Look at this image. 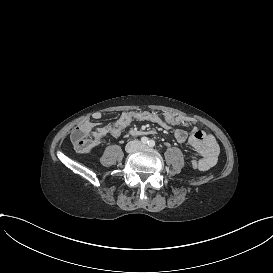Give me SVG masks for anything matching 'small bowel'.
<instances>
[{"mask_svg": "<svg viewBox=\"0 0 273 273\" xmlns=\"http://www.w3.org/2000/svg\"><path fill=\"white\" fill-rule=\"evenodd\" d=\"M102 118V113L97 111L92 114L91 118L85 120L91 121L95 125V132L91 135L98 140L107 134L119 137L123 130L131 125L134 121H148L159 124L166 129H170L174 138L178 142H187L201 156V171H207L212 168L218 158L219 145L213 134L203 131L198 127L189 130L182 126L191 125L193 119L173 112L158 113L148 110H135L123 112L114 122L100 126L98 121Z\"/></svg>", "mask_w": 273, "mask_h": 273, "instance_id": "c3829d8e", "label": "small bowel"}]
</instances>
